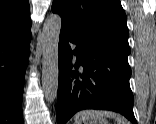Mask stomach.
Listing matches in <instances>:
<instances>
[{
    "label": "stomach",
    "mask_w": 156,
    "mask_h": 124,
    "mask_svg": "<svg viewBox=\"0 0 156 124\" xmlns=\"http://www.w3.org/2000/svg\"><path fill=\"white\" fill-rule=\"evenodd\" d=\"M86 124H108V121L104 118H96L88 121Z\"/></svg>",
    "instance_id": "stomach-1"
}]
</instances>
